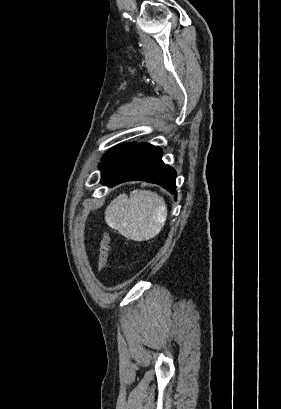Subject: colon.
Listing matches in <instances>:
<instances>
[{
  "mask_svg": "<svg viewBox=\"0 0 281 409\" xmlns=\"http://www.w3.org/2000/svg\"><path fill=\"white\" fill-rule=\"evenodd\" d=\"M108 254H109V243H108V238L106 234H103L100 238L99 241V247H98V270L102 271L107 259H108Z\"/></svg>",
  "mask_w": 281,
  "mask_h": 409,
  "instance_id": "1",
  "label": "colon"
}]
</instances>
